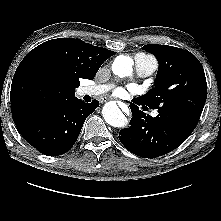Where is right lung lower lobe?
Here are the masks:
<instances>
[{"mask_svg": "<svg viewBox=\"0 0 221 221\" xmlns=\"http://www.w3.org/2000/svg\"><path fill=\"white\" fill-rule=\"evenodd\" d=\"M99 106L75 99L64 105L31 112L15 122L22 137L48 156L66 153L76 142L85 119Z\"/></svg>", "mask_w": 221, "mask_h": 221, "instance_id": "right-lung-lower-lobe-1", "label": "right lung lower lobe"}]
</instances>
